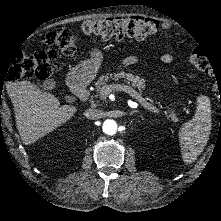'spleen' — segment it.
<instances>
[{
  "instance_id": "3e777b00",
  "label": "spleen",
  "mask_w": 221,
  "mask_h": 221,
  "mask_svg": "<svg viewBox=\"0 0 221 221\" xmlns=\"http://www.w3.org/2000/svg\"><path fill=\"white\" fill-rule=\"evenodd\" d=\"M210 116L209 103L204 98H199L195 117L179 131L182 157L185 163L194 162L204 149L211 130Z\"/></svg>"
}]
</instances>
